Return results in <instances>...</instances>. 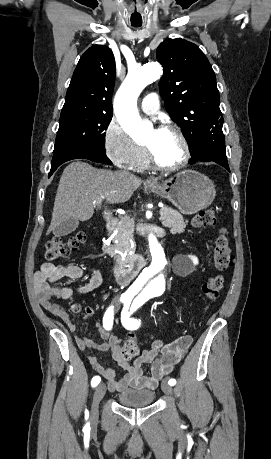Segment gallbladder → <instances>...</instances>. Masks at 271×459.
<instances>
[{
    "mask_svg": "<svg viewBox=\"0 0 271 459\" xmlns=\"http://www.w3.org/2000/svg\"><path fill=\"white\" fill-rule=\"evenodd\" d=\"M79 222L78 220H66V222H62L60 226L53 229L54 235H68L71 231L78 228Z\"/></svg>",
    "mask_w": 271,
    "mask_h": 459,
    "instance_id": "gallbladder-1",
    "label": "gallbladder"
}]
</instances>
